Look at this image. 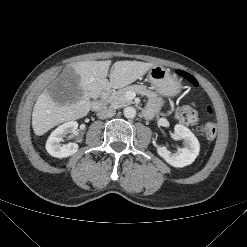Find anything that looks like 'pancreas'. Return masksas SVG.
I'll list each match as a JSON object with an SVG mask.
<instances>
[{
	"mask_svg": "<svg viewBox=\"0 0 247 247\" xmlns=\"http://www.w3.org/2000/svg\"><path fill=\"white\" fill-rule=\"evenodd\" d=\"M128 91L146 95L147 97L153 96L151 91L144 85H130L118 91L112 92L107 99V103H110L113 108H120L132 104L133 101L126 97Z\"/></svg>",
	"mask_w": 247,
	"mask_h": 247,
	"instance_id": "cf45deb5",
	"label": "pancreas"
}]
</instances>
